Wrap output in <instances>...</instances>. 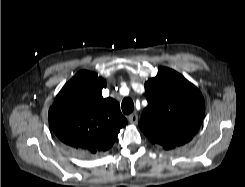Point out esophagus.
<instances>
[{"instance_id": "esophagus-1", "label": "esophagus", "mask_w": 245, "mask_h": 187, "mask_svg": "<svg viewBox=\"0 0 245 187\" xmlns=\"http://www.w3.org/2000/svg\"><path fill=\"white\" fill-rule=\"evenodd\" d=\"M128 120L132 124H137V122H138V115L136 113L130 114L128 116Z\"/></svg>"}]
</instances>
